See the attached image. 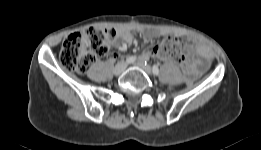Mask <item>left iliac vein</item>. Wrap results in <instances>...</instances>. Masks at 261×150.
Returning <instances> with one entry per match:
<instances>
[{"label": "left iliac vein", "instance_id": "left-iliac-vein-1", "mask_svg": "<svg viewBox=\"0 0 261 150\" xmlns=\"http://www.w3.org/2000/svg\"><path fill=\"white\" fill-rule=\"evenodd\" d=\"M135 65L138 66L142 71H144L146 74H151V68L148 65H145L142 60H139L135 62Z\"/></svg>", "mask_w": 261, "mask_h": 150}]
</instances>
